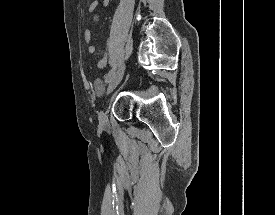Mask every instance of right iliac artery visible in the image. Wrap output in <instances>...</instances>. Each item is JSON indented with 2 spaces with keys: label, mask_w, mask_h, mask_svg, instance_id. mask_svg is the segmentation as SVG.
Returning <instances> with one entry per match:
<instances>
[{
  "label": "right iliac artery",
  "mask_w": 275,
  "mask_h": 215,
  "mask_svg": "<svg viewBox=\"0 0 275 215\" xmlns=\"http://www.w3.org/2000/svg\"><path fill=\"white\" fill-rule=\"evenodd\" d=\"M115 70H116V65H113V68L109 71V73L106 76V82L109 81V79L111 78V76L115 72Z\"/></svg>",
  "instance_id": "82829eb1"
}]
</instances>
